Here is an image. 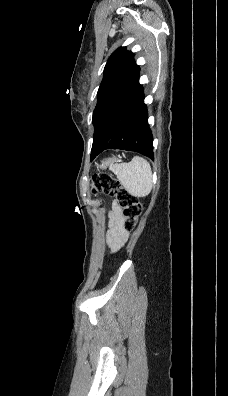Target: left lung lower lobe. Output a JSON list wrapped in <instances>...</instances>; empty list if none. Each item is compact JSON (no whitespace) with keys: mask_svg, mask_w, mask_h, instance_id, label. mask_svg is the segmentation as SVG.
Returning a JSON list of instances; mask_svg holds the SVG:
<instances>
[{"mask_svg":"<svg viewBox=\"0 0 228 396\" xmlns=\"http://www.w3.org/2000/svg\"><path fill=\"white\" fill-rule=\"evenodd\" d=\"M144 89L137 80L105 111L94 135L97 151L124 149L154 159L153 136L148 124Z\"/></svg>","mask_w":228,"mask_h":396,"instance_id":"0a47b994","label":"left lung lower lobe"}]
</instances>
